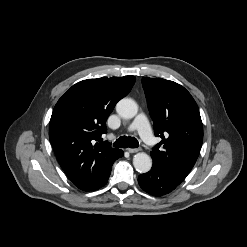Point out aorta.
<instances>
[{
  "label": "aorta",
  "mask_w": 247,
  "mask_h": 247,
  "mask_svg": "<svg viewBox=\"0 0 247 247\" xmlns=\"http://www.w3.org/2000/svg\"><path fill=\"white\" fill-rule=\"evenodd\" d=\"M118 115L125 119L133 118L138 112L136 102L131 98H123L116 105ZM133 165L139 173H146L152 167V159L146 153H137L133 158Z\"/></svg>",
  "instance_id": "762f6f07"
}]
</instances>
